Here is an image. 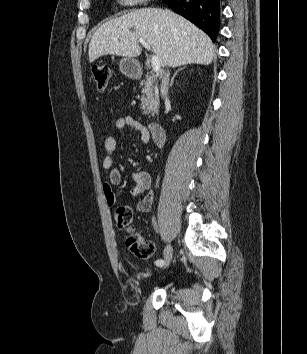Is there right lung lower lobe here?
<instances>
[{
    "label": "right lung lower lobe",
    "instance_id": "obj_1",
    "mask_svg": "<svg viewBox=\"0 0 307 354\" xmlns=\"http://www.w3.org/2000/svg\"><path fill=\"white\" fill-rule=\"evenodd\" d=\"M176 13L184 16L215 41L219 31L220 0H164Z\"/></svg>",
    "mask_w": 307,
    "mask_h": 354
}]
</instances>
